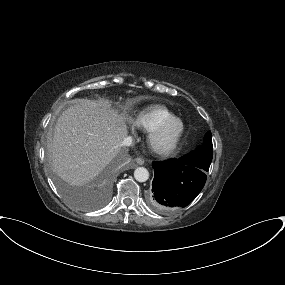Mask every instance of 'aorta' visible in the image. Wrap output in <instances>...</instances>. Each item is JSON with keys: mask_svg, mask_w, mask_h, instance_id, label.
I'll use <instances>...</instances> for the list:
<instances>
[{"mask_svg": "<svg viewBox=\"0 0 285 285\" xmlns=\"http://www.w3.org/2000/svg\"><path fill=\"white\" fill-rule=\"evenodd\" d=\"M134 177L138 182H145L149 178V172L144 167H138L134 171Z\"/></svg>", "mask_w": 285, "mask_h": 285, "instance_id": "762f6f07", "label": "aorta"}]
</instances>
